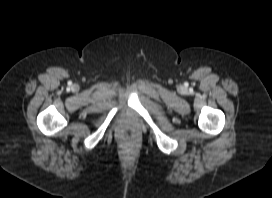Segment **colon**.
I'll return each mask as SVG.
<instances>
[{
  "mask_svg": "<svg viewBox=\"0 0 272 198\" xmlns=\"http://www.w3.org/2000/svg\"><path fill=\"white\" fill-rule=\"evenodd\" d=\"M126 138H127V139H130V138H131V133H130V132H127V133H126Z\"/></svg>",
  "mask_w": 272,
  "mask_h": 198,
  "instance_id": "obj_1",
  "label": "colon"
}]
</instances>
